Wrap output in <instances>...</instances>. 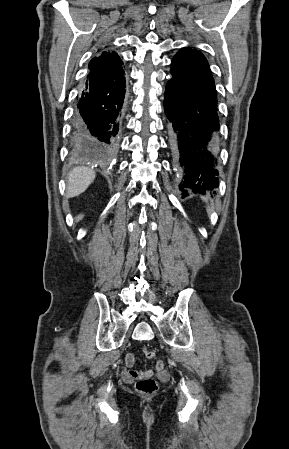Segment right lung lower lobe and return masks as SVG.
<instances>
[{
  "label": "right lung lower lobe",
  "mask_w": 289,
  "mask_h": 449,
  "mask_svg": "<svg viewBox=\"0 0 289 449\" xmlns=\"http://www.w3.org/2000/svg\"><path fill=\"white\" fill-rule=\"evenodd\" d=\"M124 95L121 64L103 71H89L79 97L74 126L82 139L101 152H110L116 147Z\"/></svg>",
  "instance_id": "right-lung-lower-lobe-1"
}]
</instances>
